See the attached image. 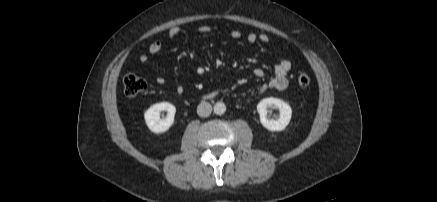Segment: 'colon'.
<instances>
[{
    "label": "colon",
    "instance_id": "colon-1",
    "mask_svg": "<svg viewBox=\"0 0 437 202\" xmlns=\"http://www.w3.org/2000/svg\"><path fill=\"white\" fill-rule=\"evenodd\" d=\"M297 81L301 88H307L311 83L310 77L304 73L298 76ZM123 84L124 93L128 97L141 94L147 88L146 80L134 71H130L125 75Z\"/></svg>",
    "mask_w": 437,
    "mask_h": 202
}]
</instances>
